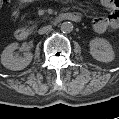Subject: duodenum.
<instances>
[{"label": "duodenum", "mask_w": 119, "mask_h": 119, "mask_svg": "<svg viewBox=\"0 0 119 119\" xmlns=\"http://www.w3.org/2000/svg\"><path fill=\"white\" fill-rule=\"evenodd\" d=\"M81 19L80 15L72 12H65L58 15L54 19V24H58L63 21L79 22ZM15 37L17 40L24 41L29 37V32L25 28H19L15 32Z\"/></svg>", "instance_id": "duodenum-1"}]
</instances>
